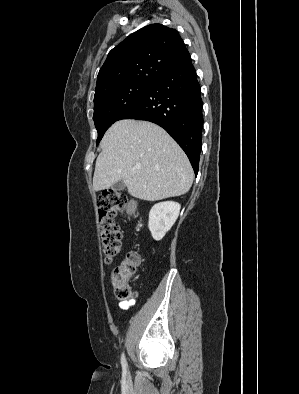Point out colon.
<instances>
[{"mask_svg": "<svg viewBox=\"0 0 299 394\" xmlns=\"http://www.w3.org/2000/svg\"><path fill=\"white\" fill-rule=\"evenodd\" d=\"M127 203L126 195L115 190L105 191L97 198L101 249L106 262H112L120 253L121 233L114 218ZM140 261L137 251H129L114 269L111 285L117 299L127 300L132 297L130 282Z\"/></svg>", "mask_w": 299, "mask_h": 394, "instance_id": "1", "label": "colon"}]
</instances>
